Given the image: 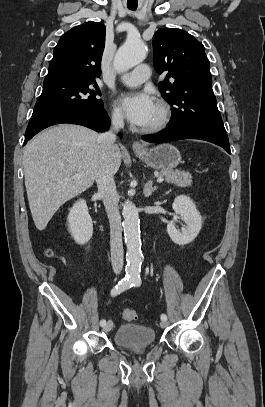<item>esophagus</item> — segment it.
<instances>
[{"mask_svg":"<svg viewBox=\"0 0 265 407\" xmlns=\"http://www.w3.org/2000/svg\"><path fill=\"white\" fill-rule=\"evenodd\" d=\"M133 150L140 151L144 149V146L140 142H134L132 145Z\"/></svg>","mask_w":265,"mask_h":407,"instance_id":"1","label":"esophagus"}]
</instances>
